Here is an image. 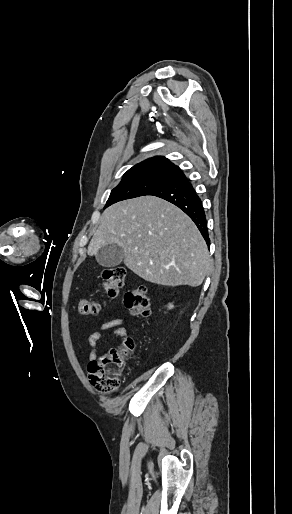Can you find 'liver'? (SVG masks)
Listing matches in <instances>:
<instances>
[{"instance_id": "obj_1", "label": "liver", "mask_w": 292, "mask_h": 514, "mask_svg": "<svg viewBox=\"0 0 292 514\" xmlns=\"http://www.w3.org/2000/svg\"><path fill=\"white\" fill-rule=\"evenodd\" d=\"M106 244L121 246L125 266L152 284L196 288L211 270L207 244L194 222L156 196L124 200L104 210L88 256Z\"/></svg>"}]
</instances>
